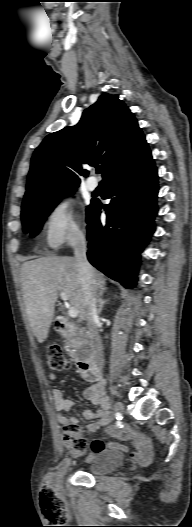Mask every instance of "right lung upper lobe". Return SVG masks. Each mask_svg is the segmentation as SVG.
<instances>
[{
	"label": "right lung upper lobe",
	"mask_w": 192,
	"mask_h": 527,
	"mask_svg": "<svg viewBox=\"0 0 192 527\" xmlns=\"http://www.w3.org/2000/svg\"><path fill=\"white\" fill-rule=\"evenodd\" d=\"M144 142L137 120L118 95H101L76 126L49 134L35 150L22 207L76 189L88 175L86 164H102L104 178Z\"/></svg>",
	"instance_id": "1"
}]
</instances>
